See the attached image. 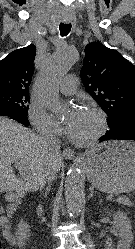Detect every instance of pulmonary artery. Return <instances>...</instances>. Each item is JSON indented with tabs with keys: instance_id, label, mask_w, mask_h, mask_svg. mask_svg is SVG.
I'll list each match as a JSON object with an SVG mask.
<instances>
[{
	"instance_id": "obj_1",
	"label": "pulmonary artery",
	"mask_w": 135,
	"mask_h": 249,
	"mask_svg": "<svg viewBox=\"0 0 135 249\" xmlns=\"http://www.w3.org/2000/svg\"><path fill=\"white\" fill-rule=\"evenodd\" d=\"M78 86V78L74 74L66 76L59 85V90L64 95H73Z\"/></svg>"
}]
</instances>
